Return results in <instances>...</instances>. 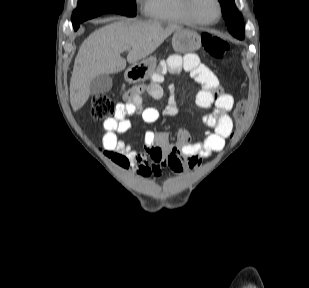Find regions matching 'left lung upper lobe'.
<instances>
[{"instance_id":"obj_1","label":"left lung upper lobe","mask_w":309,"mask_h":288,"mask_svg":"<svg viewBox=\"0 0 309 288\" xmlns=\"http://www.w3.org/2000/svg\"><path fill=\"white\" fill-rule=\"evenodd\" d=\"M221 4L228 31L232 35L244 36L245 25L241 13L235 7V0H218Z\"/></svg>"}]
</instances>
